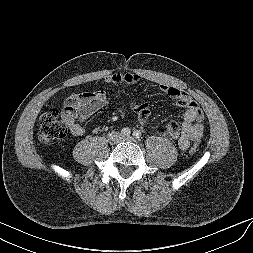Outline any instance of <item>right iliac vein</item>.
I'll list each match as a JSON object with an SVG mask.
<instances>
[{"label": "right iliac vein", "mask_w": 253, "mask_h": 253, "mask_svg": "<svg viewBox=\"0 0 253 253\" xmlns=\"http://www.w3.org/2000/svg\"><path fill=\"white\" fill-rule=\"evenodd\" d=\"M110 140L112 141V143H115V142H116L115 138H114V139L112 138V139H110Z\"/></svg>", "instance_id": "right-iliac-vein-1"}]
</instances>
